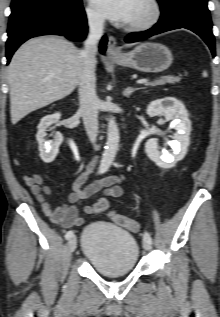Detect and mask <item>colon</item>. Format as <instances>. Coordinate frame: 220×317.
Returning a JSON list of instances; mask_svg holds the SVG:
<instances>
[{
	"label": "colon",
	"mask_w": 220,
	"mask_h": 317,
	"mask_svg": "<svg viewBox=\"0 0 220 317\" xmlns=\"http://www.w3.org/2000/svg\"><path fill=\"white\" fill-rule=\"evenodd\" d=\"M110 218L112 221L121 226L126 228L129 231L136 232L139 230V224L136 220L126 217L124 215L118 214L116 212H110Z\"/></svg>",
	"instance_id": "1"
}]
</instances>
